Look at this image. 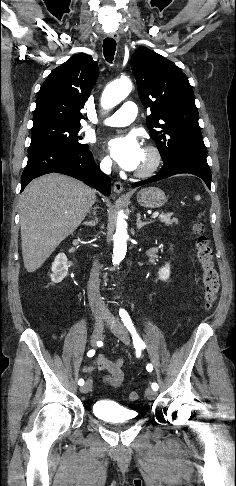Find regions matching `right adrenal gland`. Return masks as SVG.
Wrapping results in <instances>:
<instances>
[{
	"instance_id": "right-adrenal-gland-1",
	"label": "right adrenal gland",
	"mask_w": 236,
	"mask_h": 486,
	"mask_svg": "<svg viewBox=\"0 0 236 486\" xmlns=\"http://www.w3.org/2000/svg\"><path fill=\"white\" fill-rule=\"evenodd\" d=\"M93 215H94V217H95V220H91V221H85V222H83L82 224H83L84 226H90V227H92V226L96 225V223H98V218L96 217V212H95V211H93Z\"/></svg>"
}]
</instances>
